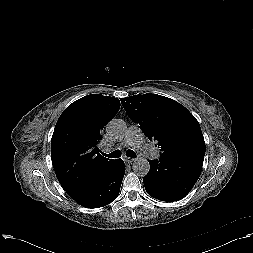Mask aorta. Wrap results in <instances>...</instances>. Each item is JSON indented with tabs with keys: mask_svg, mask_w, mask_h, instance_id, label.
<instances>
[{
	"mask_svg": "<svg viewBox=\"0 0 253 253\" xmlns=\"http://www.w3.org/2000/svg\"><path fill=\"white\" fill-rule=\"evenodd\" d=\"M126 130V124L122 120H112L106 126V131L112 136H120ZM150 164L145 158H138L133 163V171L138 176H145L149 172Z\"/></svg>",
	"mask_w": 253,
	"mask_h": 253,
	"instance_id": "762f6f07",
	"label": "aorta"
}]
</instances>
